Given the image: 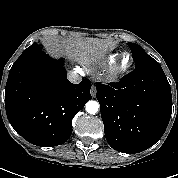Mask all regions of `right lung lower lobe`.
I'll list each match as a JSON object with an SVG mask.
<instances>
[{
  "instance_id": "obj_1",
  "label": "right lung lower lobe",
  "mask_w": 178,
  "mask_h": 178,
  "mask_svg": "<svg viewBox=\"0 0 178 178\" xmlns=\"http://www.w3.org/2000/svg\"><path fill=\"white\" fill-rule=\"evenodd\" d=\"M88 79L72 84L63 60L42 51L22 54L14 62L5 88V107L13 129L42 147L61 145L71 136L72 119L90 95Z\"/></svg>"
}]
</instances>
